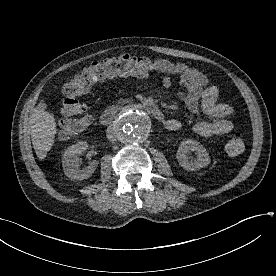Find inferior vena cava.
I'll use <instances>...</instances> for the list:
<instances>
[{
    "instance_id": "1",
    "label": "inferior vena cava",
    "mask_w": 276,
    "mask_h": 276,
    "mask_svg": "<svg viewBox=\"0 0 276 276\" xmlns=\"http://www.w3.org/2000/svg\"><path fill=\"white\" fill-rule=\"evenodd\" d=\"M107 138L109 141L114 142L118 138L117 128L114 125H111L107 128Z\"/></svg>"
}]
</instances>
